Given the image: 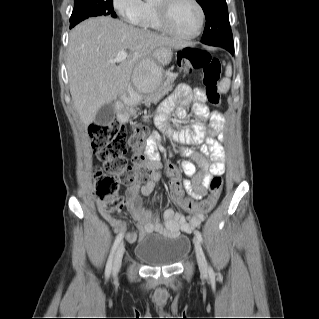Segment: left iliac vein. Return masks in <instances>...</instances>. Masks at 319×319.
I'll return each mask as SVG.
<instances>
[{"instance_id": "4c4485c4", "label": "left iliac vein", "mask_w": 319, "mask_h": 319, "mask_svg": "<svg viewBox=\"0 0 319 319\" xmlns=\"http://www.w3.org/2000/svg\"><path fill=\"white\" fill-rule=\"evenodd\" d=\"M194 246L200 271L206 274L208 272L207 261L203 253L202 247L197 239H194Z\"/></svg>"}]
</instances>
